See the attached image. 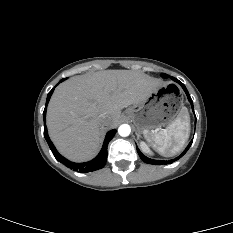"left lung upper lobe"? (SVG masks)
<instances>
[{
  "label": "left lung upper lobe",
  "mask_w": 233,
  "mask_h": 233,
  "mask_svg": "<svg viewBox=\"0 0 233 233\" xmlns=\"http://www.w3.org/2000/svg\"><path fill=\"white\" fill-rule=\"evenodd\" d=\"M162 76H163V77H167V75H166V74H162Z\"/></svg>",
  "instance_id": "1"
}]
</instances>
